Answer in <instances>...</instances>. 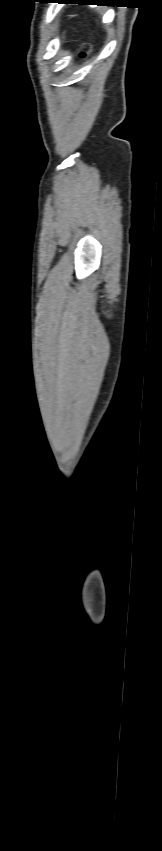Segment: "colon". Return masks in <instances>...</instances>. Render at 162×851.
Instances as JSON below:
<instances>
[{"instance_id":"1","label":"colon","mask_w":162,"mask_h":851,"mask_svg":"<svg viewBox=\"0 0 162 851\" xmlns=\"http://www.w3.org/2000/svg\"><path fill=\"white\" fill-rule=\"evenodd\" d=\"M91 52H92V50H91V47H90V46H84V47L82 48V50L80 51V57H81V58H86V57H88V56L91 54Z\"/></svg>"}]
</instances>
